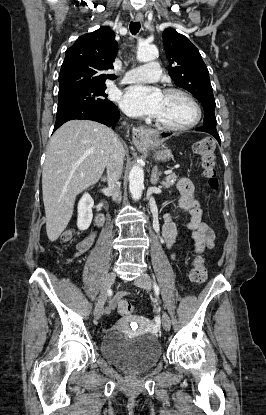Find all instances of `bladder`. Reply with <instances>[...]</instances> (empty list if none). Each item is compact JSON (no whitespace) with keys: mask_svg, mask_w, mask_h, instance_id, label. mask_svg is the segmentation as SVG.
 Listing matches in <instances>:
<instances>
[{"mask_svg":"<svg viewBox=\"0 0 266 415\" xmlns=\"http://www.w3.org/2000/svg\"><path fill=\"white\" fill-rule=\"evenodd\" d=\"M102 355L122 370L138 374L151 369L162 354L161 344L153 335L128 338L117 330L108 332L101 342Z\"/></svg>","mask_w":266,"mask_h":415,"instance_id":"obj_1","label":"bladder"}]
</instances>
